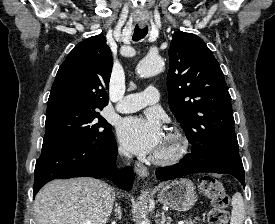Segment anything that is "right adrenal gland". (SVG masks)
<instances>
[{
  "label": "right adrenal gland",
  "mask_w": 275,
  "mask_h": 224,
  "mask_svg": "<svg viewBox=\"0 0 275 224\" xmlns=\"http://www.w3.org/2000/svg\"><path fill=\"white\" fill-rule=\"evenodd\" d=\"M115 212H116L117 220H120L121 219V209L118 206V204H115ZM112 224H115V221H113Z\"/></svg>",
  "instance_id": "1"
}]
</instances>
